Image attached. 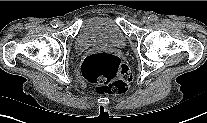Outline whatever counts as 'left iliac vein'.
<instances>
[{"label": "left iliac vein", "instance_id": "4c4485c4", "mask_svg": "<svg viewBox=\"0 0 207 123\" xmlns=\"http://www.w3.org/2000/svg\"><path fill=\"white\" fill-rule=\"evenodd\" d=\"M142 21H143L144 23H148V22H149V19L145 16V17L142 18Z\"/></svg>", "mask_w": 207, "mask_h": 123}]
</instances>
